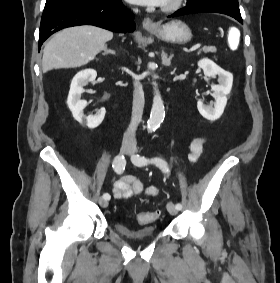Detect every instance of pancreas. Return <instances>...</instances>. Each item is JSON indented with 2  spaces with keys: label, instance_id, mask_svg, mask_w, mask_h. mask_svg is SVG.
<instances>
[{
  "label": "pancreas",
  "instance_id": "cf45deb5",
  "mask_svg": "<svg viewBox=\"0 0 280 283\" xmlns=\"http://www.w3.org/2000/svg\"><path fill=\"white\" fill-rule=\"evenodd\" d=\"M202 50L204 53H216L217 52V49L214 46H205L203 47Z\"/></svg>",
  "mask_w": 280,
  "mask_h": 283
}]
</instances>
